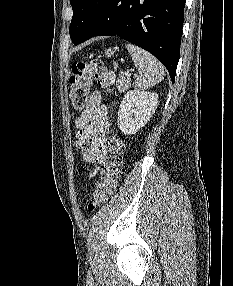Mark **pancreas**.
I'll return each instance as SVG.
<instances>
[{
    "label": "pancreas",
    "instance_id": "1",
    "mask_svg": "<svg viewBox=\"0 0 233 286\" xmlns=\"http://www.w3.org/2000/svg\"><path fill=\"white\" fill-rule=\"evenodd\" d=\"M117 89L120 92H123L127 90L130 86V79L128 77H125L124 75H119L117 81H116Z\"/></svg>",
    "mask_w": 233,
    "mask_h": 286
}]
</instances>
